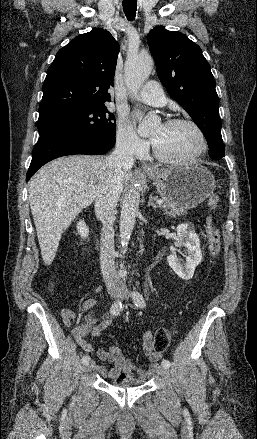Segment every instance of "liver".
Segmentation results:
<instances>
[{
	"label": "liver",
	"mask_w": 257,
	"mask_h": 439,
	"mask_svg": "<svg viewBox=\"0 0 257 439\" xmlns=\"http://www.w3.org/2000/svg\"><path fill=\"white\" fill-rule=\"evenodd\" d=\"M111 173L106 157L72 155L46 164L33 176L29 204L46 265L53 262L62 233L92 204ZM130 178L125 169L122 187Z\"/></svg>",
	"instance_id": "1"
}]
</instances>
